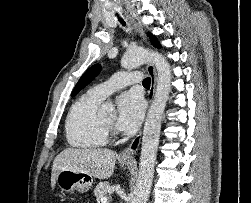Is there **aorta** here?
Returning a JSON list of instances; mask_svg holds the SVG:
<instances>
[{
    "label": "aorta",
    "instance_id": "762f6f07",
    "mask_svg": "<svg viewBox=\"0 0 251 203\" xmlns=\"http://www.w3.org/2000/svg\"><path fill=\"white\" fill-rule=\"evenodd\" d=\"M151 61L157 70V87L149 108L142 137L139 174L132 194L131 203H147L154 175V166L159 145L161 120L171 90V70L166 58L156 51L137 48L128 51L121 60L122 67L136 68ZM112 110L103 106V112Z\"/></svg>",
    "mask_w": 251,
    "mask_h": 203
}]
</instances>
